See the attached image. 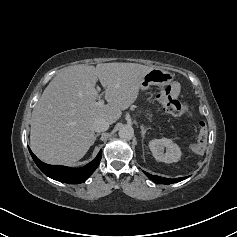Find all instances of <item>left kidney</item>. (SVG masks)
<instances>
[{
    "label": "left kidney",
    "mask_w": 237,
    "mask_h": 237,
    "mask_svg": "<svg viewBox=\"0 0 237 237\" xmlns=\"http://www.w3.org/2000/svg\"><path fill=\"white\" fill-rule=\"evenodd\" d=\"M149 148L154 158L160 162H177L181 157L179 146L167 138L151 140L149 142ZM165 149L166 152H164Z\"/></svg>",
    "instance_id": "1"
}]
</instances>
